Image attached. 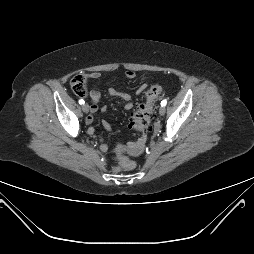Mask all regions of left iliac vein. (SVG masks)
Wrapping results in <instances>:
<instances>
[{"instance_id":"obj_1","label":"left iliac vein","mask_w":254,"mask_h":254,"mask_svg":"<svg viewBox=\"0 0 254 254\" xmlns=\"http://www.w3.org/2000/svg\"><path fill=\"white\" fill-rule=\"evenodd\" d=\"M165 112H166L165 107L161 106L160 109H159V114H160V115H164Z\"/></svg>"}]
</instances>
